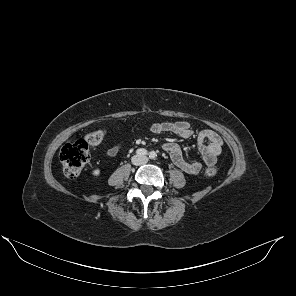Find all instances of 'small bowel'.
<instances>
[{"label": "small bowel", "instance_id": "obj_1", "mask_svg": "<svg viewBox=\"0 0 296 296\" xmlns=\"http://www.w3.org/2000/svg\"><path fill=\"white\" fill-rule=\"evenodd\" d=\"M151 131L156 134L161 133H174L181 138L188 139L193 136V131L189 122L177 121V122H159L151 125ZM222 139L213 130L205 129L197 135V148L201 155L203 162L207 166H211L216 163L217 157L222 150ZM122 149V144L118 143L110 147L106 155L107 157H115ZM163 150L169 154L172 162L189 174H198L201 169V163L196 159H187L184 157L181 147L175 142H166L163 145Z\"/></svg>", "mask_w": 296, "mask_h": 296}]
</instances>
